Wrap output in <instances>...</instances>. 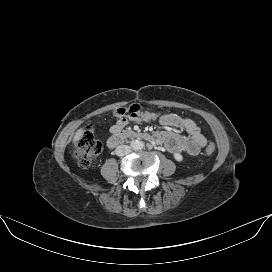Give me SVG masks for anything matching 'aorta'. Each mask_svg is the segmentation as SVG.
<instances>
[{
	"instance_id": "762f6f07",
	"label": "aorta",
	"mask_w": 272,
	"mask_h": 272,
	"mask_svg": "<svg viewBox=\"0 0 272 272\" xmlns=\"http://www.w3.org/2000/svg\"><path fill=\"white\" fill-rule=\"evenodd\" d=\"M130 146L132 149L134 150H138V149H141L142 146H143V143L139 140H133L131 143H130Z\"/></svg>"
}]
</instances>
